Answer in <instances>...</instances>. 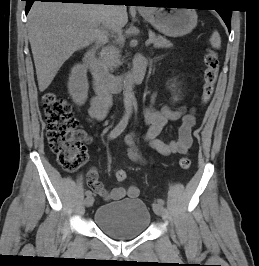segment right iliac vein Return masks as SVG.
<instances>
[{
  "label": "right iliac vein",
  "mask_w": 259,
  "mask_h": 266,
  "mask_svg": "<svg viewBox=\"0 0 259 266\" xmlns=\"http://www.w3.org/2000/svg\"><path fill=\"white\" fill-rule=\"evenodd\" d=\"M93 202H94V198L92 196L86 197V199H85V205L87 207L92 206L93 205Z\"/></svg>",
  "instance_id": "right-iliac-vein-1"
}]
</instances>
